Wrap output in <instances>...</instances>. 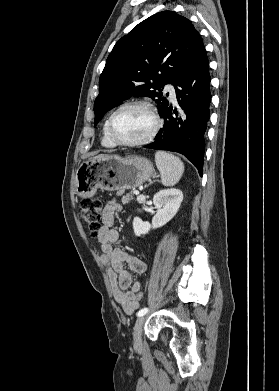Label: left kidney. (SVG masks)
Masks as SVG:
<instances>
[{
	"label": "left kidney",
	"mask_w": 279,
	"mask_h": 391,
	"mask_svg": "<svg viewBox=\"0 0 279 391\" xmlns=\"http://www.w3.org/2000/svg\"><path fill=\"white\" fill-rule=\"evenodd\" d=\"M183 201V193L176 188L160 190L153 197L156 214L152 219V224L143 222L139 217L133 220V230L136 236L147 234L149 230L157 229L168 223L177 213Z\"/></svg>",
	"instance_id": "5707ae66"
}]
</instances>
